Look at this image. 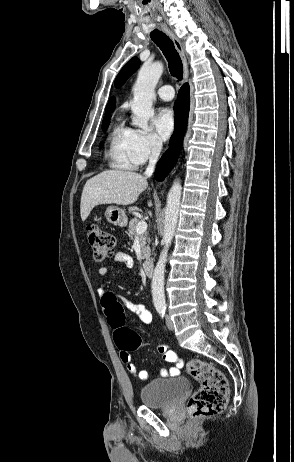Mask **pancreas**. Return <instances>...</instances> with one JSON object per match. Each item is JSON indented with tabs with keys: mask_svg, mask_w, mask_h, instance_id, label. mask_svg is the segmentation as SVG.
<instances>
[{
	"mask_svg": "<svg viewBox=\"0 0 294 462\" xmlns=\"http://www.w3.org/2000/svg\"><path fill=\"white\" fill-rule=\"evenodd\" d=\"M139 223L138 218H133L130 220L129 225H128V234L131 240H134L135 237L139 238L140 241V246H141V258L142 259H149L150 258V238L147 236V234H137L136 232V226Z\"/></svg>",
	"mask_w": 294,
	"mask_h": 462,
	"instance_id": "1",
	"label": "pancreas"
}]
</instances>
